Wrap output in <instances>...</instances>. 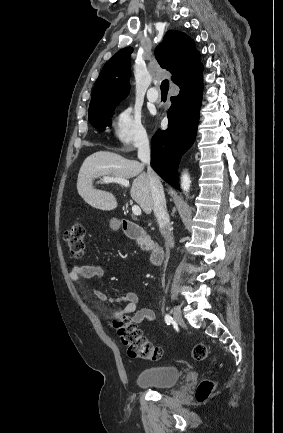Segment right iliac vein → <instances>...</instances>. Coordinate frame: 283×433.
<instances>
[{
  "instance_id": "1",
  "label": "right iliac vein",
  "mask_w": 283,
  "mask_h": 433,
  "mask_svg": "<svg viewBox=\"0 0 283 433\" xmlns=\"http://www.w3.org/2000/svg\"><path fill=\"white\" fill-rule=\"evenodd\" d=\"M173 317H174V320L178 324H182L183 323L182 313H181V310H180V308L178 306H175L173 308Z\"/></svg>"
}]
</instances>
